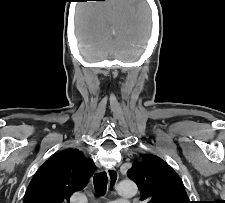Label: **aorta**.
<instances>
[{
	"label": "aorta",
	"mask_w": 225,
	"mask_h": 203,
	"mask_svg": "<svg viewBox=\"0 0 225 203\" xmlns=\"http://www.w3.org/2000/svg\"><path fill=\"white\" fill-rule=\"evenodd\" d=\"M117 192L124 197L134 196L137 193V186L132 180H122L117 184Z\"/></svg>",
	"instance_id": "1"
}]
</instances>
